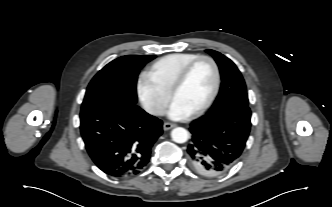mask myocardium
<instances>
[{
	"label": "myocardium",
	"instance_id": "f54148a6",
	"mask_svg": "<svg viewBox=\"0 0 332 207\" xmlns=\"http://www.w3.org/2000/svg\"><path fill=\"white\" fill-rule=\"evenodd\" d=\"M208 61L214 71V85L213 89L207 98V100L196 110L191 112V116H198L204 113L214 102L216 99L220 85H221V73L220 68L216 60L208 55H199L198 57L194 58L190 62H188L179 72L176 79L174 80L171 89H170V96L173 99L175 93L182 87V85L185 83L191 69L200 61Z\"/></svg>",
	"mask_w": 332,
	"mask_h": 207
}]
</instances>
